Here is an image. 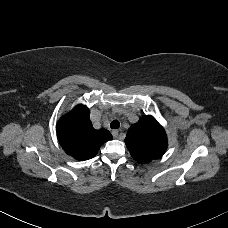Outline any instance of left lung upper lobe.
<instances>
[{"instance_id":"1","label":"left lung upper lobe","mask_w":228,"mask_h":228,"mask_svg":"<svg viewBox=\"0 0 228 228\" xmlns=\"http://www.w3.org/2000/svg\"><path fill=\"white\" fill-rule=\"evenodd\" d=\"M125 143L132 157L141 163L160 158L168 147L165 130L150 115L141 117L129 128Z\"/></svg>"}]
</instances>
